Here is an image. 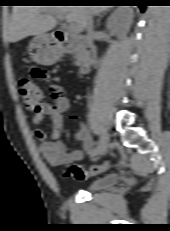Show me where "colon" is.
<instances>
[{"label": "colon", "mask_w": 170, "mask_h": 231, "mask_svg": "<svg viewBox=\"0 0 170 231\" xmlns=\"http://www.w3.org/2000/svg\"><path fill=\"white\" fill-rule=\"evenodd\" d=\"M18 91L25 106L31 112L38 111L42 104V93L38 85L30 78L23 77L18 81ZM107 168V162L93 165L90 168H84L76 164H66L64 166V176L84 180L104 172Z\"/></svg>", "instance_id": "5ec220e1"}]
</instances>
